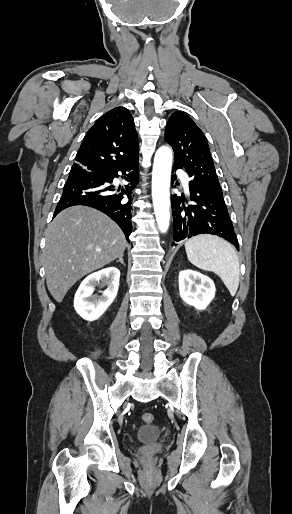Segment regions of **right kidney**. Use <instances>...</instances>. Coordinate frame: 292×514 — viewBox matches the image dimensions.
Instances as JSON below:
<instances>
[{
  "label": "right kidney",
  "instance_id": "obj_1",
  "mask_svg": "<svg viewBox=\"0 0 292 514\" xmlns=\"http://www.w3.org/2000/svg\"><path fill=\"white\" fill-rule=\"evenodd\" d=\"M120 270L117 268H104L87 276L80 284L74 298V308L84 320H98L105 310L115 300L119 288ZM97 282L101 286H107V290L101 292L102 296H93Z\"/></svg>",
  "mask_w": 292,
  "mask_h": 514
}]
</instances>
